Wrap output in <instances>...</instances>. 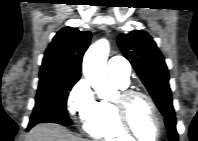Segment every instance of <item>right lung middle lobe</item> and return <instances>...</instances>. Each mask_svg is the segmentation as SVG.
<instances>
[{
  "instance_id": "dd1d6c3e",
  "label": "right lung middle lobe",
  "mask_w": 198,
  "mask_h": 141,
  "mask_svg": "<svg viewBox=\"0 0 198 141\" xmlns=\"http://www.w3.org/2000/svg\"><path fill=\"white\" fill-rule=\"evenodd\" d=\"M78 80L79 77H40L36 103L28 127L42 122L72 125L67 114L66 101L69 91Z\"/></svg>"
}]
</instances>
